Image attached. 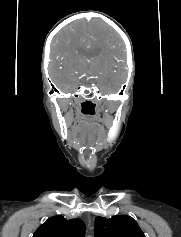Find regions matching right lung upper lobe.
I'll use <instances>...</instances> for the list:
<instances>
[{
  "label": "right lung upper lobe",
  "instance_id": "right-lung-upper-lobe-1",
  "mask_svg": "<svg viewBox=\"0 0 181 237\" xmlns=\"http://www.w3.org/2000/svg\"><path fill=\"white\" fill-rule=\"evenodd\" d=\"M85 225L75 218L67 220L58 215L50 217L34 233L33 237H84Z\"/></svg>",
  "mask_w": 181,
  "mask_h": 237
}]
</instances>
